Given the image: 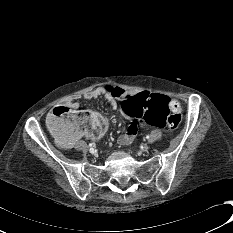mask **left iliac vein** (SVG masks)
Returning <instances> with one entry per match:
<instances>
[{
  "label": "left iliac vein",
  "instance_id": "1",
  "mask_svg": "<svg viewBox=\"0 0 233 233\" xmlns=\"http://www.w3.org/2000/svg\"><path fill=\"white\" fill-rule=\"evenodd\" d=\"M148 150H149V145L144 144V145L142 146V151H143V152H147Z\"/></svg>",
  "mask_w": 233,
  "mask_h": 233
}]
</instances>
